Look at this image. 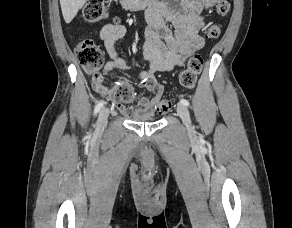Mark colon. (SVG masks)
Segmentation results:
<instances>
[{
  "mask_svg": "<svg viewBox=\"0 0 292 228\" xmlns=\"http://www.w3.org/2000/svg\"><path fill=\"white\" fill-rule=\"evenodd\" d=\"M231 4L229 0H216L215 12L220 17H225L230 13ZM106 13L105 0H88L82 9V16L88 22H96L104 17ZM221 34L219 25H211L205 31L206 39H217ZM75 55L82 69L92 75L93 88L110 97L115 102H124L129 99V90L119 87L109 90L103 85V77L100 72L104 64V55L99 45L92 39H84L75 47ZM204 66V59L200 54L192 55L186 68L180 75V83L184 88L192 89L197 82L198 76ZM172 102L163 99L158 105V113L164 114L170 110Z\"/></svg>",
  "mask_w": 292,
  "mask_h": 228,
  "instance_id": "obj_1",
  "label": "colon"
}]
</instances>
